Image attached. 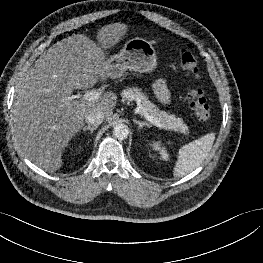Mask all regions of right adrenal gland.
Masks as SVG:
<instances>
[{
  "mask_svg": "<svg viewBox=\"0 0 263 263\" xmlns=\"http://www.w3.org/2000/svg\"><path fill=\"white\" fill-rule=\"evenodd\" d=\"M96 129H97V127L85 126V127L82 128V131L84 132V131H88L89 130L90 133L92 134L93 131L96 130Z\"/></svg>",
  "mask_w": 263,
  "mask_h": 263,
  "instance_id": "2a0ac1e0",
  "label": "right adrenal gland"
}]
</instances>
